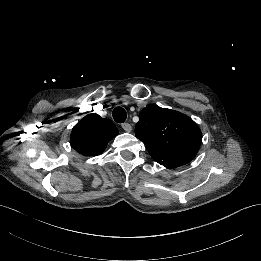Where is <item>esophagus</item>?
Returning <instances> with one entry per match:
<instances>
[{
	"mask_svg": "<svg viewBox=\"0 0 261 261\" xmlns=\"http://www.w3.org/2000/svg\"><path fill=\"white\" fill-rule=\"evenodd\" d=\"M122 128L126 131V132H131L132 131V127L129 123H123L122 124Z\"/></svg>",
	"mask_w": 261,
	"mask_h": 261,
	"instance_id": "1",
	"label": "esophagus"
}]
</instances>
